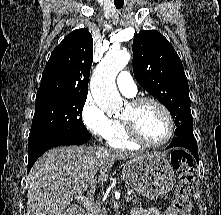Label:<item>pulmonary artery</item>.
<instances>
[{"label":"pulmonary artery","mask_w":221,"mask_h":215,"mask_svg":"<svg viewBox=\"0 0 221 215\" xmlns=\"http://www.w3.org/2000/svg\"><path fill=\"white\" fill-rule=\"evenodd\" d=\"M117 86L119 90L126 96L132 97L137 93V86L132 76L127 71H122L117 77Z\"/></svg>","instance_id":"1"}]
</instances>
